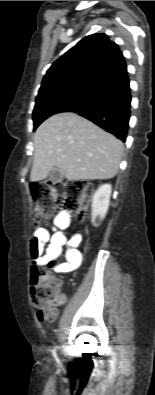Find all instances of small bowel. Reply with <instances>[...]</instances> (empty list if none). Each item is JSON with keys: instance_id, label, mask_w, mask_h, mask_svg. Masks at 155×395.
I'll list each match as a JSON object with an SVG mask.
<instances>
[{"instance_id": "c3829d8e", "label": "small bowel", "mask_w": 155, "mask_h": 395, "mask_svg": "<svg viewBox=\"0 0 155 395\" xmlns=\"http://www.w3.org/2000/svg\"><path fill=\"white\" fill-rule=\"evenodd\" d=\"M69 223V214L60 211L54 218L51 230L39 228L35 231L34 236L29 240L28 248V258L33 260V266H46L48 261L55 260L61 254L64 246H67L66 261L58 264L54 270L58 273H68L80 266L82 253L78 246L81 242V236L76 235L67 239L64 231ZM46 244H48L47 248ZM42 254L44 255L42 256ZM57 315L58 310L56 308L37 311V317L41 322H52Z\"/></svg>"}]
</instances>
